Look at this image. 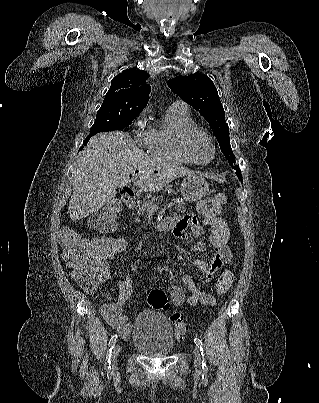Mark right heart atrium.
I'll return each mask as SVG.
<instances>
[{
    "label": "right heart atrium",
    "mask_w": 319,
    "mask_h": 403,
    "mask_svg": "<svg viewBox=\"0 0 319 403\" xmlns=\"http://www.w3.org/2000/svg\"><path fill=\"white\" fill-rule=\"evenodd\" d=\"M147 115V109L137 115L133 122V135L139 147L149 150L152 143V128L147 125Z\"/></svg>",
    "instance_id": "d8ad5b80"
}]
</instances>
